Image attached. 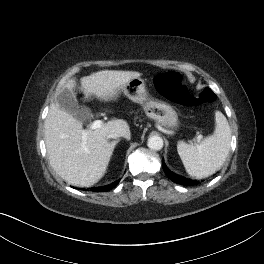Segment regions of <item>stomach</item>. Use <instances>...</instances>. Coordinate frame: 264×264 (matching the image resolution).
Masks as SVG:
<instances>
[{
    "label": "stomach",
    "instance_id": "stomach-1",
    "mask_svg": "<svg viewBox=\"0 0 264 264\" xmlns=\"http://www.w3.org/2000/svg\"><path fill=\"white\" fill-rule=\"evenodd\" d=\"M121 92L133 102L140 104L148 118L165 128H177V112L171 105L150 97L146 90L145 82L140 77L131 79L128 83L120 87L112 97H115Z\"/></svg>",
    "mask_w": 264,
    "mask_h": 264
}]
</instances>
